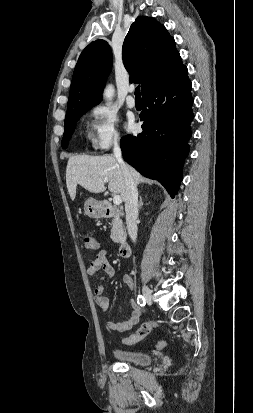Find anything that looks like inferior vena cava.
<instances>
[{"mask_svg": "<svg viewBox=\"0 0 253 413\" xmlns=\"http://www.w3.org/2000/svg\"><path fill=\"white\" fill-rule=\"evenodd\" d=\"M114 157L118 161L124 175L126 185L125 212L128 234L133 242L137 239L138 191L128 165L122 159L121 148L116 140L113 148Z\"/></svg>", "mask_w": 253, "mask_h": 413, "instance_id": "602c4592", "label": "inferior vena cava"}]
</instances>
